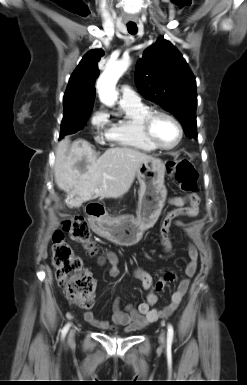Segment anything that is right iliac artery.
Segmentation results:
<instances>
[{
	"label": "right iliac artery",
	"instance_id": "obj_1",
	"mask_svg": "<svg viewBox=\"0 0 247 385\" xmlns=\"http://www.w3.org/2000/svg\"><path fill=\"white\" fill-rule=\"evenodd\" d=\"M70 327V324L65 325V327L62 330V338L65 337L66 333L68 332V329Z\"/></svg>",
	"mask_w": 247,
	"mask_h": 385
}]
</instances>
